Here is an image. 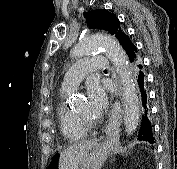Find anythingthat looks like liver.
<instances>
[{"label":"liver","mask_w":177,"mask_h":169,"mask_svg":"<svg viewBox=\"0 0 177 169\" xmlns=\"http://www.w3.org/2000/svg\"><path fill=\"white\" fill-rule=\"evenodd\" d=\"M97 140H90L70 146L59 155L58 169H79Z\"/></svg>","instance_id":"1"}]
</instances>
